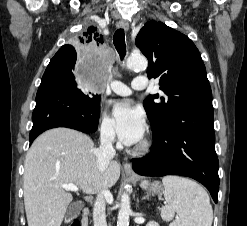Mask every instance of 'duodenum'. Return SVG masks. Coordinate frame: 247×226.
I'll return each instance as SVG.
<instances>
[{"mask_svg": "<svg viewBox=\"0 0 247 226\" xmlns=\"http://www.w3.org/2000/svg\"><path fill=\"white\" fill-rule=\"evenodd\" d=\"M89 214H90L89 208L85 207L82 209L81 211V225L82 226H87Z\"/></svg>", "mask_w": 247, "mask_h": 226, "instance_id": "duodenum-1", "label": "duodenum"}]
</instances>
